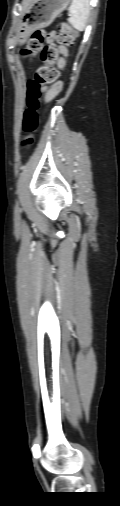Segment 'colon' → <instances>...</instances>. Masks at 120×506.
Instances as JSON below:
<instances>
[{
	"label": "colon",
	"mask_w": 120,
	"mask_h": 506,
	"mask_svg": "<svg viewBox=\"0 0 120 506\" xmlns=\"http://www.w3.org/2000/svg\"><path fill=\"white\" fill-rule=\"evenodd\" d=\"M77 37V31L67 24H62L55 35L54 41L44 44V33L35 31L31 34L26 49L22 55L30 58L40 53L41 65L36 70L35 76L28 82L26 95V109L23 118V129L26 137L23 141L25 147L32 144V135L39 125L38 108L42 95V87L54 83L59 77L58 70L54 67L58 58L59 46H70Z\"/></svg>",
	"instance_id": "obj_1"
}]
</instances>
